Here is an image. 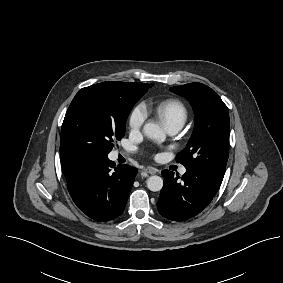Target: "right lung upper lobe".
I'll list each match as a JSON object with an SVG mask.
<instances>
[{"label": "right lung upper lobe", "mask_w": 283, "mask_h": 283, "mask_svg": "<svg viewBox=\"0 0 283 283\" xmlns=\"http://www.w3.org/2000/svg\"><path fill=\"white\" fill-rule=\"evenodd\" d=\"M143 84V83H136ZM60 158L61 166L65 175L66 180L70 179L79 166L84 162V160L70 151H68L63 145H60Z\"/></svg>", "instance_id": "obj_1"}]
</instances>
